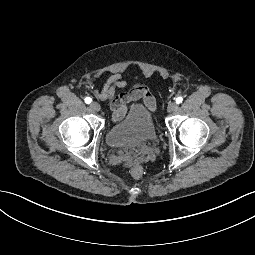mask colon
I'll return each mask as SVG.
<instances>
[{"label": "colon", "mask_w": 255, "mask_h": 255, "mask_svg": "<svg viewBox=\"0 0 255 255\" xmlns=\"http://www.w3.org/2000/svg\"><path fill=\"white\" fill-rule=\"evenodd\" d=\"M130 174L134 179H140L143 175V168L139 164H134L130 168Z\"/></svg>", "instance_id": "colon-1"}]
</instances>
